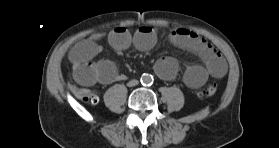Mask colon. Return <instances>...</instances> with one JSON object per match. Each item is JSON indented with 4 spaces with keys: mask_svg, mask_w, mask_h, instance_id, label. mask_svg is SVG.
I'll return each instance as SVG.
<instances>
[{
    "mask_svg": "<svg viewBox=\"0 0 279 148\" xmlns=\"http://www.w3.org/2000/svg\"><path fill=\"white\" fill-rule=\"evenodd\" d=\"M217 86L211 83L199 91L198 95L202 98H210L215 95ZM76 95L83 101L91 104L98 102V96L89 89H76Z\"/></svg>",
    "mask_w": 279,
    "mask_h": 148,
    "instance_id": "colon-1",
    "label": "colon"
}]
</instances>
